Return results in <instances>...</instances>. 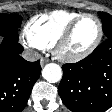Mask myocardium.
I'll list each match as a JSON object with an SVG mask.
<instances>
[{
    "label": "myocardium",
    "mask_w": 112,
    "mask_h": 112,
    "mask_svg": "<svg viewBox=\"0 0 112 112\" xmlns=\"http://www.w3.org/2000/svg\"><path fill=\"white\" fill-rule=\"evenodd\" d=\"M85 17H91L93 18L98 25V32H97V36L94 39V41L92 42V44L84 51L77 53V54H66L63 51V46L66 43V41L69 39V37L71 36L75 26ZM103 37V24L101 22V20L94 14L92 13H82L80 14L78 17H76L74 20H72L67 26L66 28L60 33V35L57 37V39L55 40L54 44H53V53L54 55L65 62H79L85 58H87L89 55H91L96 48L99 46L101 40Z\"/></svg>",
    "instance_id": "f54148a6"
}]
</instances>
